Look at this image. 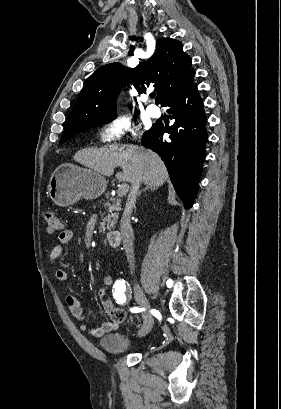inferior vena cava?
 <instances>
[{
    "instance_id": "602c4592",
    "label": "inferior vena cava",
    "mask_w": 281,
    "mask_h": 409,
    "mask_svg": "<svg viewBox=\"0 0 281 409\" xmlns=\"http://www.w3.org/2000/svg\"><path fill=\"white\" fill-rule=\"evenodd\" d=\"M142 176L141 174H136L134 182H132L130 196L131 198H136L141 184ZM120 231L122 235L123 247L125 249L127 261L130 265L131 273H133L134 267V235L133 229L130 225V213H124L120 221Z\"/></svg>"
}]
</instances>
